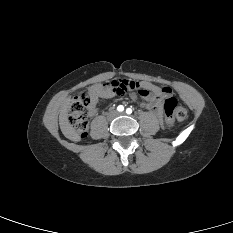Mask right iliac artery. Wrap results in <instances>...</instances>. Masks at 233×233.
Segmentation results:
<instances>
[{
	"label": "right iliac artery",
	"instance_id": "right-iliac-artery-1",
	"mask_svg": "<svg viewBox=\"0 0 233 233\" xmlns=\"http://www.w3.org/2000/svg\"><path fill=\"white\" fill-rule=\"evenodd\" d=\"M117 110H118L119 112H122V111L124 110V107H123L122 105H119V106L117 107Z\"/></svg>",
	"mask_w": 233,
	"mask_h": 233
}]
</instances>
